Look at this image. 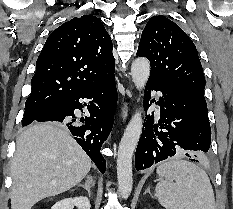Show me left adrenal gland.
<instances>
[{
    "mask_svg": "<svg viewBox=\"0 0 233 209\" xmlns=\"http://www.w3.org/2000/svg\"><path fill=\"white\" fill-rule=\"evenodd\" d=\"M147 193L151 194L150 193V187H148L147 190L144 192V194H147Z\"/></svg>",
    "mask_w": 233,
    "mask_h": 209,
    "instance_id": "obj_1",
    "label": "left adrenal gland"
}]
</instances>
